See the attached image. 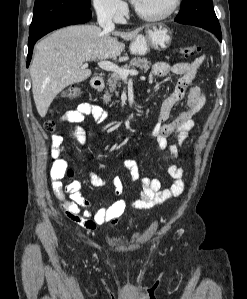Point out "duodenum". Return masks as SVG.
<instances>
[{"label":"duodenum","mask_w":247,"mask_h":299,"mask_svg":"<svg viewBox=\"0 0 247 299\" xmlns=\"http://www.w3.org/2000/svg\"><path fill=\"white\" fill-rule=\"evenodd\" d=\"M104 80L101 76H95L90 80V86L93 89H100L103 86ZM134 114H130L127 118L132 119L134 118Z\"/></svg>","instance_id":"obj_1"}]
</instances>
